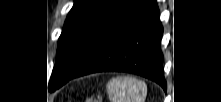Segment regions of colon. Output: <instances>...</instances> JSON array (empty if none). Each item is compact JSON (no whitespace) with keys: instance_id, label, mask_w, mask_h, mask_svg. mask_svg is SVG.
<instances>
[{"instance_id":"colon-1","label":"colon","mask_w":221,"mask_h":102,"mask_svg":"<svg viewBox=\"0 0 221 102\" xmlns=\"http://www.w3.org/2000/svg\"><path fill=\"white\" fill-rule=\"evenodd\" d=\"M86 102H100V100L96 96H90Z\"/></svg>"}]
</instances>
